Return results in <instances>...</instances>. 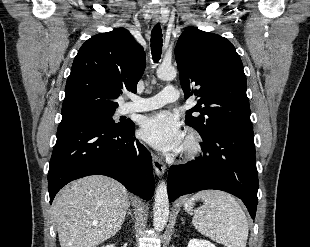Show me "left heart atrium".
Here are the masks:
<instances>
[{
  "instance_id": "obj_1",
  "label": "left heart atrium",
  "mask_w": 310,
  "mask_h": 247,
  "mask_svg": "<svg viewBox=\"0 0 310 247\" xmlns=\"http://www.w3.org/2000/svg\"><path fill=\"white\" fill-rule=\"evenodd\" d=\"M140 136L163 152L179 150L184 138L177 118L167 111L147 117L141 126Z\"/></svg>"
}]
</instances>
